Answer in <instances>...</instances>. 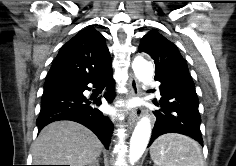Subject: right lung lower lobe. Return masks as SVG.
I'll use <instances>...</instances> for the list:
<instances>
[{"label":"right lung lower lobe","mask_w":236,"mask_h":166,"mask_svg":"<svg viewBox=\"0 0 236 166\" xmlns=\"http://www.w3.org/2000/svg\"><path fill=\"white\" fill-rule=\"evenodd\" d=\"M104 84L109 90L104 94L108 102L114 98V79L112 69L89 78H56L46 81L42 96L41 110L37 119L38 132L47 124L59 120H71L83 124L93 131L108 149L113 131V124L107 116L95 107L100 99L91 102L83 92L89 90L87 86Z\"/></svg>","instance_id":"98d812e1"}]
</instances>
